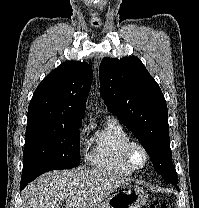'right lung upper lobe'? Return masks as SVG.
I'll use <instances>...</instances> for the list:
<instances>
[{"label":"right lung upper lobe","instance_id":"cb5924a9","mask_svg":"<svg viewBox=\"0 0 199 208\" xmlns=\"http://www.w3.org/2000/svg\"><path fill=\"white\" fill-rule=\"evenodd\" d=\"M92 77V68L85 62L62 63L36 88L29 104L28 119L82 121Z\"/></svg>","mask_w":199,"mask_h":208}]
</instances>
